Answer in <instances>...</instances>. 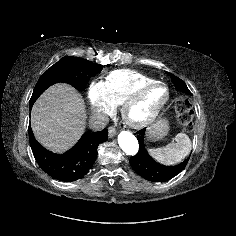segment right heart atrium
<instances>
[{
  "label": "right heart atrium",
  "mask_w": 236,
  "mask_h": 236,
  "mask_svg": "<svg viewBox=\"0 0 236 236\" xmlns=\"http://www.w3.org/2000/svg\"><path fill=\"white\" fill-rule=\"evenodd\" d=\"M88 100L92 116L98 119H102L114 109V106L107 100L104 81H94L91 83L88 89Z\"/></svg>",
  "instance_id": "1"
}]
</instances>
